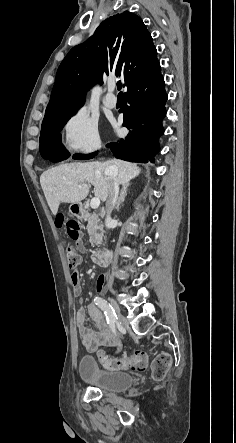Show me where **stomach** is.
Segmentation results:
<instances>
[{
	"label": "stomach",
	"instance_id": "1",
	"mask_svg": "<svg viewBox=\"0 0 236 443\" xmlns=\"http://www.w3.org/2000/svg\"><path fill=\"white\" fill-rule=\"evenodd\" d=\"M70 214L77 216L81 212V205L78 203H73L69 206Z\"/></svg>",
	"mask_w": 236,
	"mask_h": 443
}]
</instances>
